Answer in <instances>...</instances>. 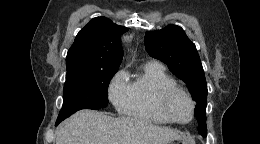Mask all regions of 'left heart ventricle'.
I'll return each mask as SVG.
<instances>
[{"label":"left heart ventricle","mask_w":260,"mask_h":144,"mask_svg":"<svg viewBox=\"0 0 260 144\" xmlns=\"http://www.w3.org/2000/svg\"><path fill=\"white\" fill-rule=\"evenodd\" d=\"M170 111L180 121H187L191 116V104L182 94L175 95L169 103Z\"/></svg>","instance_id":"obj_1"}]
</instances>
